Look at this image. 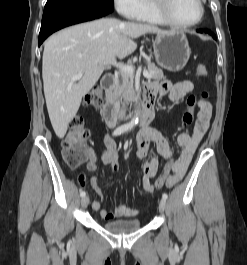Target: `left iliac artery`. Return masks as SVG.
<instances>
[{
  "mask_svg": "<svg viewBox=\"0 0 247 265\" xmlns=\"http://www.w3.org/2000/svg\"><path fill=\"white\" fill-rule=\"evenodd\" d=\"M162 198L167 199L168 198V195L166 193H163L162 194Z\"/></svg>",
  "mask_w": 247,
  "mask_h": 265,
  "instance_id": "44dca946",
  "label": "left iliac artery"
}]
</instances>
